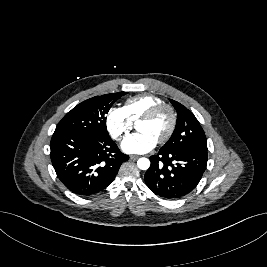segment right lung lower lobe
I'll list each match as a JSON object with an SVG mask.
<instances>
[{"mask_svg":"<svg viewBox=\"0 0 267 267\" xmlns=\"http://www.w3.org/2000/svg\"><path fill=\"white\" fill-rule=\"evenodd\" d=\"M51 161L60 181L73 193L89 196L105 189L129 159L109 135L54 133Z\"/></svg>","mask_w":267,"mask_h":267,"instance_id":"98d812e1","label":"right lung lower lobe"}]
</instances>
